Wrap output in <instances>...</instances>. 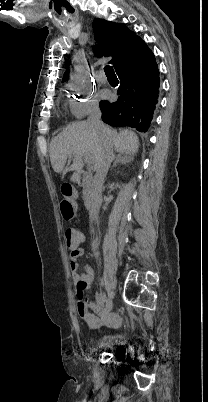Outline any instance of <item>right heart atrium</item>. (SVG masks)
<instances>
[{"instance_id":"right-heart-atrium-1","label":"right heart atrium","mask_w":208,"mask_h":402,"mask_svg":"<svg viewBox=\"0 0 208 402\" xmlns=\"http://www.w3.org/2000/svg\"><path fill=\"white\" fill-rule=\"evenodd\" d=\"M73 101L71 109L78 118L85 116L87 113L95 110L99 106V99L96 89L91 84H72Z\"/></svg>"}]
</instances>
